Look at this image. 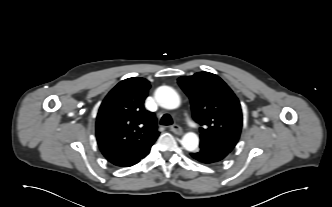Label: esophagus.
Wrapping results in <instances>:
<instances>
[{
	"mask_svg": "<svg viewBox=\"0 0 332 207\" xmlns=\"http://www.w3.org/2000/svg\"><path fill=\"white\" fill-rule=\"evenodd\" d=\"M170 130L177 135H182L183 133L182 128L177 124L172 125Z\"/></svg>",
	"mask_w": 332,
	"mask_h": 207,
	"instance_id": "34e87169",
	"label": "esophagus"
}]
</instances>
